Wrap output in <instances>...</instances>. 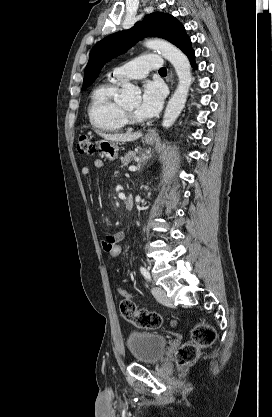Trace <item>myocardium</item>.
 <instances>
[{
	"label": "myocardium",
	"mask_w": 272,
	"mask_h": 417,
	"mask_svg": "<svg viewBox=\"0 0 272 417\" xmlns=\"http://www.w3.org/2000/svg\"><path fill=\"white\" fill-rule=\"evenodd\" d=\"M123 115L125 118L126 123L135 124L140 122V120L134 115V113L125 107H122Z\"/></svg>",
	"instance_id": "myocardium-1"
}]
</instances>
